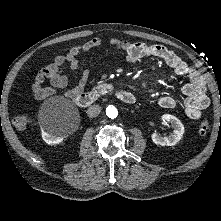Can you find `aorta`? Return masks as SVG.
<instances>
[{
  "label": "aorta",
  "mask_w": 221,
  "mask_h": 221,
  "mask_svg": "<svg viewBox=\"0 0 221 221\" xmlns=\"http://www.w3.org/2000/svg\"><path fill=\"white\" fill-rule=\"evenodd\" d=\"M106 115L109 117V118H116L117 115H118V111L117 109L114 107V106H108L106 108Z\"/></svg>",
  "instance_id": "obj_1"
}]
</instances>
